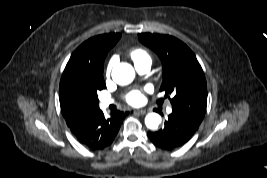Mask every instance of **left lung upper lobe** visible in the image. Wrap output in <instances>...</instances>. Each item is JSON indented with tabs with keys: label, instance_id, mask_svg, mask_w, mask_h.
Instances as JSON below:
<instances>
[{
	"label": "left lung upper lobe",
	"instance_id": "5c2ea615",
	"mask_svg": "<svg viewBox=\"0 0 267 178\" xmlns=\"http://www.w3.org/2000/svg\"><path fill=\"white\" fill-rule=\"evenodd\" d=\"M141 43L157 53L162 61L163 82L160 91L170 99L172 109L181 111L198 123L203 121L207 106V84L194 53L182 41L170 35L141 33Z\"/></svg>",
	"mask_w": 267,
	"mask_h": 178
}]
</instances>
